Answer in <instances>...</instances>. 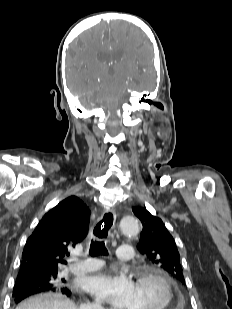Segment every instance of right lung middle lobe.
<instances>
[{
  "instance_id": "obj_1",
  "label": "right lung middle lobe",
  "mask_w": 232,
  "mask_h": 309,
  "mask_svg": "<svg viewBox=\"0 0 232 309\" xmlns=\"http://www.w3.org/2000/svg\"><path fill=\"white\" fill-rule=\"evenodd\" d=\"M17 280L33 281L44 287H60L65 285L66 281L58 277V270L43 271L33 274L26 271H19ZM16 280V281H17Z\"/></svg>"
}]
</instances>
